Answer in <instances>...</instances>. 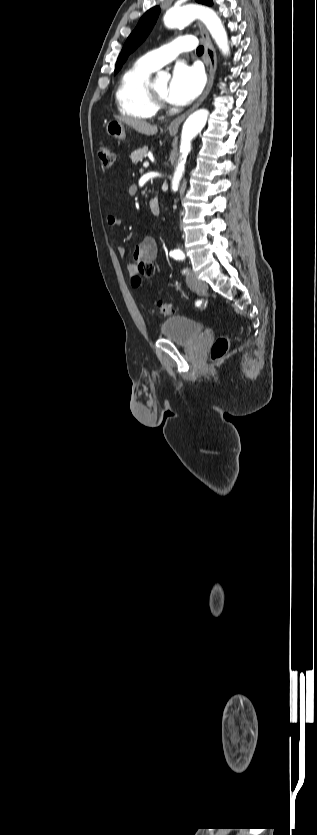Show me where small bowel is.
Masks as SVG:
<instances>
[{
	"label": "small bowel",
	"mask_w": 317,
	"mask_h": 835,
	"mask_svg": "<svg viewBox=\"0 0 317 835\" xmlns=\"http://www.w3.org/2000/svg\"><path fill=\"white\" fill-rule=\"evenodd\" d=\"M107 224L110 227H117L121 224V219L116 215H108L107 217ZM116 251L120 257L126 256V250L121 245H116ZM157 243L154 238L145 237L143 238L138 245L133 254L134 263L130 264L128 267V271L133 274L136 271L137 264L140 261H149L154 264L157 256ZM156 270V267H155ZM150 283V277L145 279V286H148Z\"/></svg>",
	"instance_id": "obj_1"
}]
</instances>
